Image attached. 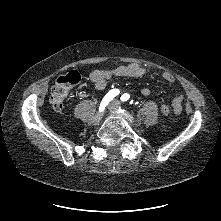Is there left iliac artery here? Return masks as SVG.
Masks as SVG:
<instances>
[{"mask_svg": "<svg viewBox=\"0 0 221 221\" xmlns=\"http://www.w3.org/2000/svg\"><path fill=\"white\" fill-rule=\"evenodd\" d=\"M128 99H129V95L127 93H125L121 96L122 101H127Z\"/></svg>", "mask_w": 221, "mask_h": 221, "instance_id": "1", "label": "left iliac artery"}]
</instances>
